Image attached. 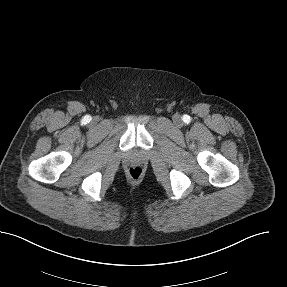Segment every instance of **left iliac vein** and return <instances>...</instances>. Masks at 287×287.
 <instances>
[{
  "label": "left iliac vein",
  "mask_w": 287,
  "mask_h": 287,
  "mask_svg": "<svg viewBox=\"0 0 287 287\" xmlns=\"http://www.w3.org/2000/svg\"><path fill=\"white\" fill-rule=\"evenodd\" d=\"M174 123L177 125V126H180L182 124V119L179 115H175L174 118Z\"/></svg>",
  "instance_id": "4c4485c4"
}]
</instances>
